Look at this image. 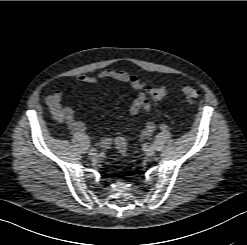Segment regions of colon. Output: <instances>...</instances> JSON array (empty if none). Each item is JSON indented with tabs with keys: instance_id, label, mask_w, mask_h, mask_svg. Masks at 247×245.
Listing matches in <instances>:
<instances>
[{
	"instance_id": "obj_1",
	"label": "colon",
	"mask_w": 247,
	"mask_h": 245,
	"mask_svg": "<svg viewBox=\"0 0 247 245\" xmlns=\"http://www.w3.org/2000/svg\"><path fill=\"white\" fill-rule=\"evenodd\" d=\"M182 92H183L185 98L190 102L194 101L199 96V92L190 86H183ZM165 95H166V90L164 88H151L149 90V96L154 102L160 101L161 99L164 98ZM115 146H116L118 152L122 156L126 155V153H127V141L122 135H119L116 137Z\"/></svg>"
}]
</instances>
